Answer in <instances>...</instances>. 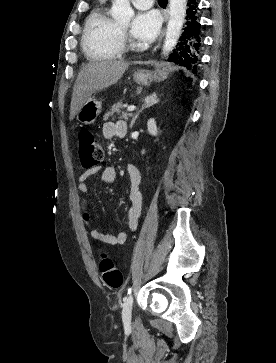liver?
Here are the masks:
<instances>
[{
	"mask_svg": "<svg viewBox=\"0 0 276 363\" xmlns=\"http://www.w3.org/2000/svg\"><path fill=\"white\" fill-rule=\"evenodd\" d=\"M128 67V62L116 60L95 61L84 65L73 88L70 120L74 119L83 103L93 94L117 83Z\"/></svg>",
	"mask_w": 276,
	"mask_h": 363,
	"instance_id": "obj_1",
	"label": "liver"
}]
</instances>
